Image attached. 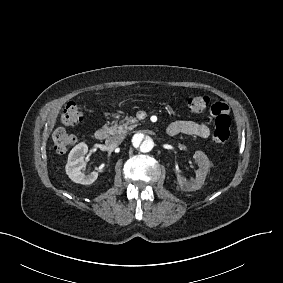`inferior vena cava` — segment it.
I'll return each instance as SVG.
<instances>
[{"label": "inferior vena cava", "mask_w": 283, "mask_h": 283, "mask_svg": "<svg viewBox=\"0 0 283 283\" xmlns=\"http://www.w3.org/2000/svg\"><path fill=\"white\" fill-rule=\"evenodd\" d=\"M124 137L122 135H116L108 137L105 141L107 146L117 147L123 141Z\"/></svg>", "instance_id": "1"}]
</instances>
